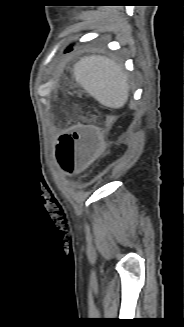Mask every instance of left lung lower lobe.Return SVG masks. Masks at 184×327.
Here are the masks:
<instances>
[{"label":"left lung lower lobe","mask_w":184,"mask_h":327,"mask_svg":"<svg viewBox=\"0 0 184 327\" xmlns=\"http://www.w3.org/2000/svg\"><path fill=\"white\" fill-rule=\"evenodd\" d=\"M71 49H72V46H69L66 51L69 52V51H71Z\"/></svg>","instance_id":"left-lung-lower-lobe-1"}]
</instances>
